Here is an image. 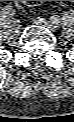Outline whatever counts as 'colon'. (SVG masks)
Instances as JSON below:
<instances>
[{
	"mask_svg": "<svg viewBox=\"0 0 74 122\" xmlns=\"http://www.w3.org/2000/svg\"><path fill=\"white\" fill-rule=\"evenodd\" d=\"M27 5H37L41 3L42 1H23Z\"/></svg>",
	"mask_w": 74,
	"mask_h": 122,
	"instance_id": "colon-1",
	"label": "colon"
}]
</instances>
